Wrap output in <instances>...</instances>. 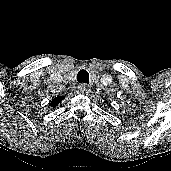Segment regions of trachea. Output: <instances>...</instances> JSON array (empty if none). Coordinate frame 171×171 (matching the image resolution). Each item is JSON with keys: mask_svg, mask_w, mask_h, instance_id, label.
<instances>
[{"mask_svg": "<svg viewBox=\"0 0 171 171\" xmlns=\"http://www.w3.org/2000/svg\"><path fill=\"white\" fill-rule=\"evenodd\" d=\"M77 81L79 83H89V73L86 70H80L77 74Z\"/></svg>", "mask_w": 171, "mask_h": 171, "instance_id": "trachea-1", "label": "trachea"}]
</instances>
